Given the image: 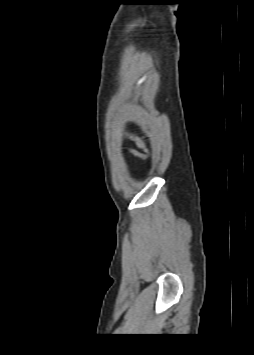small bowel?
Instances as JSON below:
<instances>
[{
  "mask_svg": "<svg viewBox=\"0 0 254 355\" xmlns=\"http://www.w3.org/2000/svg\"><path fill=\"white\" fill-rule=\"evenodd\" d=\"M139 144V143H138ZM128 152L135 157L141 158V159H146L148 157V152L145 150L143 152H139L135 149H128Z\"/></svg>",
  "mask_w": 254,
  "mask_h": 355,
  "instance_id": "1",
  "label": "small bowel"
}]
</instances>
